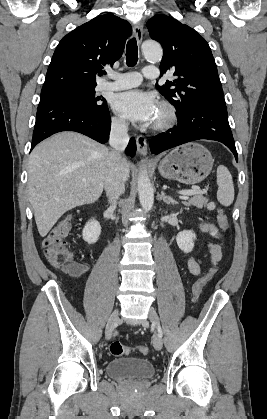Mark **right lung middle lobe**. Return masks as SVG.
<instances>
[{
    "label": "right lung middle lobe",
    "mask_w": 267,
    "mask_h": 419,
    "mask_svg": "<svg viewBox=\"0 0 267 419\" xmlns=\"http://www.w3.org/2000/svg\"><path fill=\"white\" fill-rule=\"evenodd\" d=\"M48 94L73 101L93 112L108 107L104 98L95 96V87L66 86Z\"/></svg>",
    "instance_id": "1"
}]
</instances>
